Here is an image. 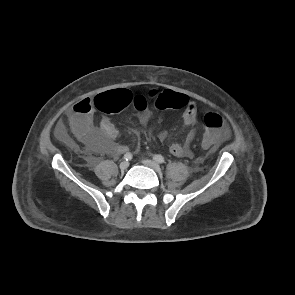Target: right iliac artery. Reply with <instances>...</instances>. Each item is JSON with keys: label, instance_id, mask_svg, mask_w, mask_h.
Instances as JSON below:
<instances>
[{"label": "right iliac artery", "instance_id": "82829eb1", "mask_svg": "<svg viewBox=\"0 0 295 295\" xmlns=\"http://www.w3.org/2000/svg\"><path fill=\"white\" fill-rule=\"evenodd\" d=\"M124 159H125L126 161H130V160L132 159V154H131V153H126V154L124 155Z\"/></svg>", "mask_w": 295, "mask_h": 295}]
</instances>
